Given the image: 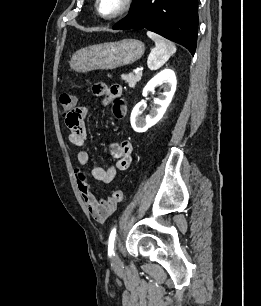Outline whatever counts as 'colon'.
<instances>
[{"label": "colon", "mask_w": 261, "mask_h": 306, "mask_svg": "<svg viewBox=\"0 0 261 306\" xmlns=\"http://www.w3.org/2000/svg\"><path fill=\"white\" fill-rule=\"evenodd\" d=\"M77 99L71 93H63L60 96V104L65 113H71L76 107ZM116 202H121L124 199V192L120 189L114 191L113 196Z\"/></svg>", "instance_id": "5ec220e1"}]
</instances>
